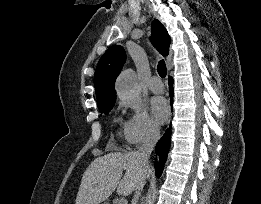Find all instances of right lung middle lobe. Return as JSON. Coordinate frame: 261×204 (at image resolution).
<instances>
[{
  "mask_svg": "<svg viewBox=\"0 0 261 204\" xmlns=\"http://www.w3.org/2000/svg\"><path fill=\"white\" fill-rule=\"evenodd\" d=\"M115 101L113 102H107L101 105H98V108L100 110L101 113H109V111L113 108Z\"/></svg>",
  "mask_w": 261,
  "mask_h": 204,
  "instance_id": "obj_1",
  "label": "right lung middle lobe"
}]
</instances>
